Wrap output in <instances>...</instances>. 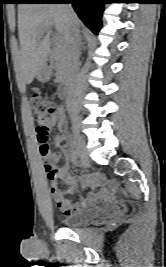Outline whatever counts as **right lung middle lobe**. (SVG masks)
I'll list each match as a JSON object with an SVG mask.
<instances>
[{
	"label": "right lung middle lobe",
	"instance_id": "obj_1",
	"mask_svg": "<svg viewBox=\"0 0 166 267\" xmlns=\"http://www.w3.org/2000/svg\"><path fill=\"white\" fill-rule=\"evenodd\" d=\"M27 1H31V0H17V3H20V2H27Z\"/></svg>",
	"mask_w": 166,
	"mask_h": 267
}]
</instances>
